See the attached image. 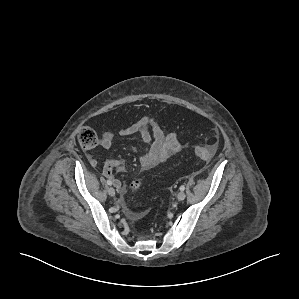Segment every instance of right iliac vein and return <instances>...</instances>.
<instances>
[{
	"label": "right iliac vein",
	"instance_id": "63e3f726",
	"mask_svg": "<svg viewBox=\"0 0 299 299\" xmlns=\"http://www.w3.org/2000/svg\"><path fill=\"white\" fill-rule=\"evenodd\" d=\"M107 192L110 196H112V197L115 196V189L113 187H109L107 189Z\"/></svg>",
	"mask_w": 299,
	"mask_h": 299
}]
</instances>
